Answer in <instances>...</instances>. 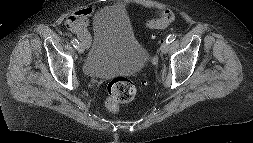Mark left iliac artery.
<instances>
[{"label": "left iliac artery", "instance_id": "1", "mask_svg": "<svg viewBox=\"0 0 253 143\" xmlns=\"http://www.w3.org/2000/svg\"><path fill=\"white\" fill-rule=\"evenodd\" d=\"M176 39L175 35H169L166 39L167 43H172Z\"/></svg>", "mask_w": 253, "mask_h": 143}]
</instances>
